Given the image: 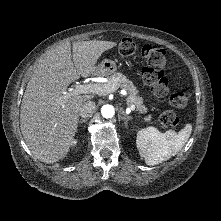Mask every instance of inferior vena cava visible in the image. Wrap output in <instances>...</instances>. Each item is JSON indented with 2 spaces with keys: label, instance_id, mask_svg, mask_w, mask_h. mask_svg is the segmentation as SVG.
Instances as JSON below:
<instances>
[{
  "label": "inferior vena cava",
  "instance_id": "602c4592",
  "mask_svg": "<svg viewBox=\"0 0 221 221\" xmlns=\"http://www.w3.org/2000/svg\"><path fill=\"white\" fill-rule=\"evenodd\" d=\"M96 110V104L93 101H86L79 110V115L83 118L91 116Z\"/></svg>",
  "mask_w": 221,
  "mask_h": 221
}]
</instances>
